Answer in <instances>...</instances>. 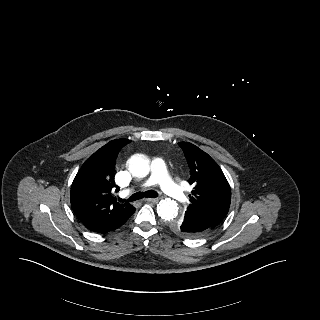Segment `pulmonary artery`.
I'll return each mask as SVG.
<instances>
[{
  "label": "pulmonary artery",
  "mask_w": 320,
  "mask_h": 320,
  "mask_svg": "<svg viewBox=\"0 0 320 320\" xmlns=\"http://www.w3.org/2000/svg\"><path fill=\"white\" fill-rule=\"evenodd\" d=\"M154 184H159L161 189L174 199L180 202L186 201L185 194L169 177L165 162L161 158H155L152 161L151 176L141 186L148 187Z\"/></svg>",
  "instance_id": "obj_1"
}]
</instances>
